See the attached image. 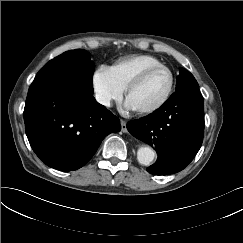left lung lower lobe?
I'll return each mask as SVG.
<instances>
[{"label": "left lung lower lobe", "instance_id": "left-lung-lower-lobe-1", "mask_svg": "<svg viewBox=\"0 0 243 243\" xmlns=\"http://www.w3.org/2000/svg\"><path fill=\"white\" fill-rule=\"evenodd\" d=\"M204 102L199 87L176 90L154 113L130 121L128 131L156 149L147 171L168 175L183 170L199 151L204 134Z\"/></svg>", "mask_w": 243, "mask_h": 243}]
</instances>
